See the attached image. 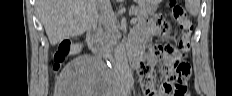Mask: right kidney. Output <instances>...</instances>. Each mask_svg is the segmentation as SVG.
I'll return each mask as SVG.
<instances>
[{
  "mask_svg": "<svg viewBox=\"0 0 232 96\" xmlns=\"http://www.w3.org/2000/svg\"><path fill=\"white\" fill-rule=\"evenodd\" d=\"M80 49H81L80 44H75V45L71 46V52L72 53H77L78 51H80Z\"/></svg>",
  "mask_w": 232,
  "mask_h": 96,
  "instance_id": "1",
  "label": "right kidney"
}]
</instances>
